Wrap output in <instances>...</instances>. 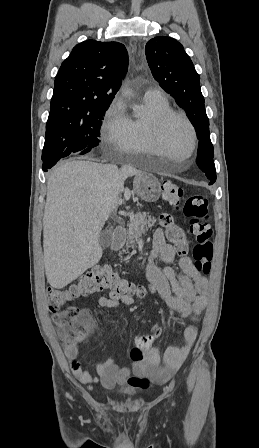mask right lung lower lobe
Segmentation results:
<instances>
[{"label":"right lung lower lobe","instance_id":"obj_1","mask_svg":"<svg viewBox=\"0 0 259 448\" xmlns=\"http://www.w3.org/2000/svg\"><path fill=\"white\" fill-rule=\"evenodd\" d=\"M60 159H56V160H51V161H46V162H43V165H42V169H43V171H47V169H50V168H52L58 161H59Z\"/></svg>","mask_w":259,"mask_h":448}]
</instances>
